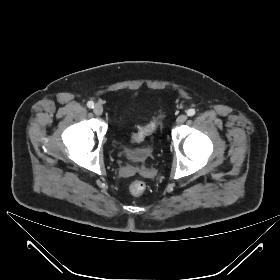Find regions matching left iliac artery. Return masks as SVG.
<instances>
[{
    "mask_svg": "<svg viewBox=\"0 0 280 280\" xmlns=\"http://www.w3.org/2000/svg\"><path fill=\"white\" fill-rule=\"evenodd\" d=\"M195 113H196L195 109H189V110L187 111V115L190 116V117H191V116H194Z\"/></svg>",
    "mask_w": 280,
    "mask_h": 280,
    "instance_id": "obj_1",
    "label": "left iliac artery"
}]
</instances>
